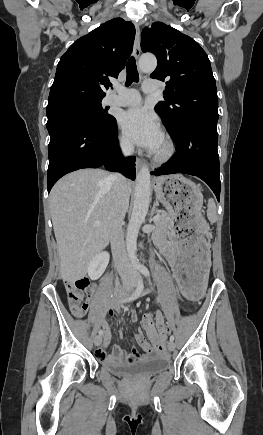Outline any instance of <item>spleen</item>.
Listing matches in <instances>:
<instances>
[{"instance_id":"3e777b00","label":"spleen","mask_w":263,"mask_h":435,"mask_svg":"<svg viewBox=\"0 0 263 435\" xmlns=\"http://www.w3.org/2000/svg\"><path fill=\"white\" fill-rule=\"evenodd\" d=\"M207 216L210 221L216 220V204L212 198L208 200Z\"/></svg>"}]
</instances>
